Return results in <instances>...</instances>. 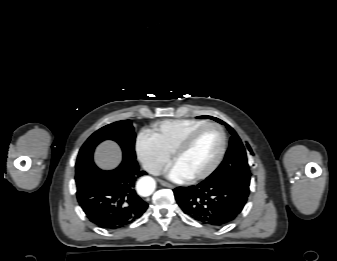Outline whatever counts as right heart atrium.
Instances as JSON below:
<instances>
[{"label": "right heart atrium", "instance_id": "1", "mask_svg": "<svg viewBox=\"0 0 337 261\" xmlns=\"http://www.w3.org/2000/svg\"><path fill=\"white\" fill-rule=\"evenodd\" d=\"M136 151L143 167L151 174H159L170 159V154L147 131L138 135Z\"/></svg>", "mask_w": 337, "mask_h": 261}]
</instances>
